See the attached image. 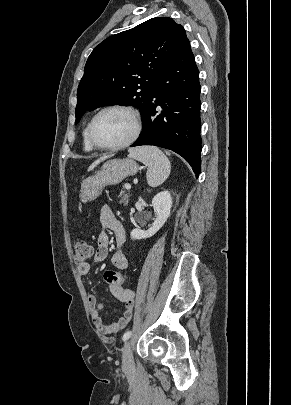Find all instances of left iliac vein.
<instances>
[{
	"label": "left iliac vein",
	"instance_id": "1",
	"mask_svg": "<svg viewBox=\"0 0 291 405\" xmlns=\"http://www.w3.org/2000/svg\"><path fill=\"white\" fill-rule=\"evenodd\" d=\"M122 359H123V369L125 371H131L134 368V360L129 342H127L123 348Z\"/></svg>",
	"mask_w": 291,
	"mask_h": 405
}]
</instances>
